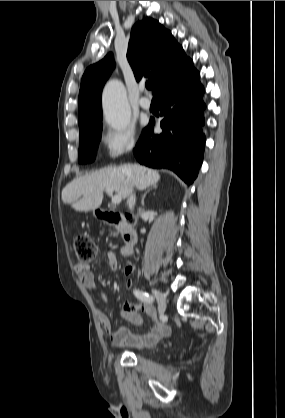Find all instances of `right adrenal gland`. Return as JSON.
<instances>
[{"label": "right adrenal gland", "instance_id": "1", "mask_svg": "<svg viewBox=\"0 0 285 418\" xmlns=\"http://www.w3.org/2000/svg\"><path fill=\"white\" fill-rule=\"evenodd\" d=\"M157 188V186L156 185H153V186H151L150 188H148L146 191H145V193L143 194V196H142V199H141V204L143 205L144 204V199H145V197H146V195H147V193L150 191V190H155Z\"/></svg>", "mask_w": 285, "mask_h": 418}]
</instances>
